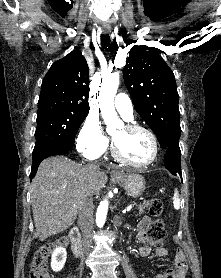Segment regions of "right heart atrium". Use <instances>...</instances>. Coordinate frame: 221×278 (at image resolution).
<instances>
[{"label":"right heart atrium","mask_w":221,"mask_h":278,"mask_svg":"<svg viewBox=\"0 0 221 278\" xmlns=\"http://www.w3.org/2000/svg\"><path fill=\"white\" fill-rule=\"evenodd\" d=\"M108 143V138L105 136L98 118L88 115L76 139L79 153L88 159L100 158L106 152Z\"/></svg>","instance_id":"obj_1"}]
</instances>
